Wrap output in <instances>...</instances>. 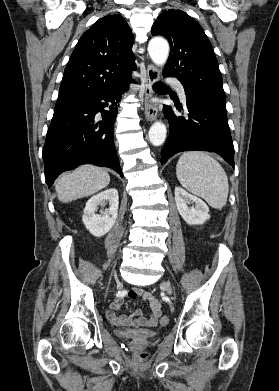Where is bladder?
Masks as SVG:
<instances>
[{"instance_id":"bladder-1","label":"bladder","mask_w":279,"mask_h":391,"mask_svg":"<svg viewBox=\"0 0 279 391\" xmlns=\"http://www.w3.org/2000/svg\"><path fill=\"white\" fill-rule=\"evenodd\" d=\"M156 331L150 330H123L118 333L119 337L127 342L145 343L157 336Z\"/></svg>"}]
</instances>
